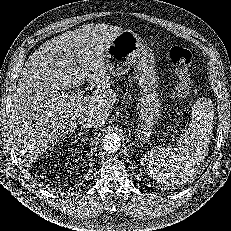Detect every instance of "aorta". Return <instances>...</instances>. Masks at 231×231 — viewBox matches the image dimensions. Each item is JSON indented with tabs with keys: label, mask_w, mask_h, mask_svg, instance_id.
Returning <instances> with one entry per match:
<instances>
[{
	"label": "aorta",
	"mask_w": 231,
	"mask_h": 231,
	"mask_svg": "<svg viewBox=\"0 0 231 231\" xmlns=\"http://www.w3.org/2000/svg\"><path fill=\"white\" fill-rule=\"evenodd\" d=\"M102 149L107 153L116 152L121 146V138L116 133H109L104 136L102 141Z\"/></svg>",
	"instance_id": "aorta-1"
}]
</instances>
